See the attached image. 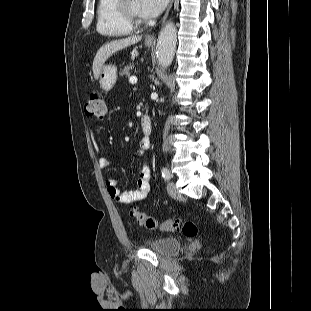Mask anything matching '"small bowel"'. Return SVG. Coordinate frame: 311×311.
I'll list each match as a JSON object with an SVG mask.
<instances>
[{
    "label": "small bowel",
    "instance_id": "c3829d8e",
    "mask_svg": "<svg viewBox=\"0 0 311 311\" xmlns=\"http://www.w3.org/2000/svg\"><path fill=\"white\" fill-rule=\"evenodd\" d=\"M91 137H95V128L90 130ZM150 147L149 137H143L139 142L137 154L139 156L144 155ZM96 151L99 152V147L95 143ZM98 165L101 169L109 168L113 165V161L109 158L100 155L98 157ZM105 185L109 196L122 204H131L133 202L144 199L150 191V169L148 165L143 164L141 166L138 178H137V189L132 191H121L117 186V181L113 178L105 180Z\"/></svg>",
    "mask_w": 311,
    "mask_h": 311
}]
</instances>
